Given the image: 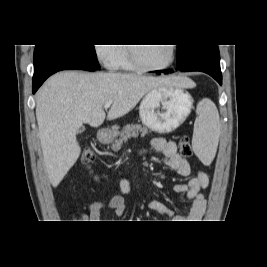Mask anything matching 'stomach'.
I'll return each mask as SVG.
<instances>
[{
    "mask_svg": "<svg viewBox=\"0 0 267 267\" xmlns=\"http://www.w3.org/2000/svg\"><path fill=\"white\" fill-rule=\"evenodd\" d=\"M193 99L182 87H159L149 91L139 106L142 123L158 133H169L178 128L191 112ZM116 133L101 135L109 141Z\"/></svg>",
    "mask_w": 267,
    "mask_h": 267,
    "instance_id": "obj_1",
    "label": "stomach"
}]
</instances>
